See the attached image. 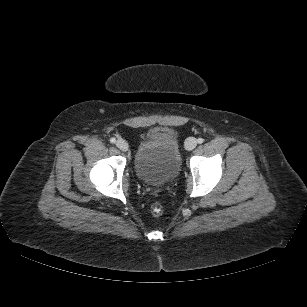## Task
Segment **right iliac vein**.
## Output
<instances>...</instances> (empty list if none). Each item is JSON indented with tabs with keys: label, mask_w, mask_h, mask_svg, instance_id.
Listing matches in <instances>:
<instances>
[{
	"label": "right iliac vein",
	"mask_w": 307,
	"mask_h": 307,
	"mask_svg": "<svg viewBox=\"0 0 307 307\" xmlns=\"http://www.w3.org/2000/svg\"><path fill=\"white\" fill-rule=\"evenodd\" d=\"M116 146H117L121 151H124V152H126V151L128 150V148H129L128 143H127L125 140H123V139L118 140V141L116 142Z\"/></svg>",
	"instance_id": "right-iliac-vein-1"
}]
</instances>
